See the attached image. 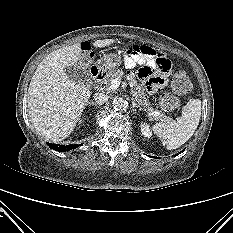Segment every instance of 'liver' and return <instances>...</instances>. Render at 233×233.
<instances>
[{"mask_svg": "<svg viewBox=\"0 0 233 233\" xmlns=\"http://www.w3.org/2000/svg\"><path fill=\"white\" fill-rule=\"evenodd\" d=\"M113 39L96 40L94 47L113 44ZM80 43L50 53L37 67L28 88V112L37 133L47 140L67 138L77 122L91 91L71 80L64 69L81 59Z\"/></svg>", "mask_w": 233, "mask_h": 233, "instance_id": "liver-1", "label": "liver"}]
</instances>
